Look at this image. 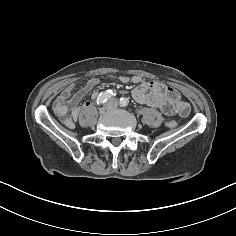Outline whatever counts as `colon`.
<instances>
[{
	"instance_id": "1",
	"label": "colon",
	"mask_w": 236,
	"mask_h": 236,
	"mask_svg": "<svg viewBox=\"0 0 236 236\" xmlns=\"http://www.w3.org/2000/svg\"><path fill=\"white\" fill-rule=\"evenodd\" d=\"M169 125H170V127H175L176 123L174 121H171Z\"/></svg>"
}]
</instances>
